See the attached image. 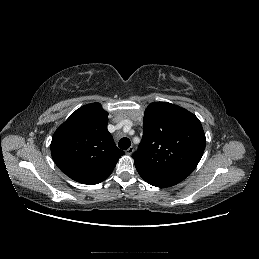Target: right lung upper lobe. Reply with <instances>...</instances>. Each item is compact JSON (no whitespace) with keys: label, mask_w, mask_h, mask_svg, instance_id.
<instances>
[{"label":"right lung upper lobe","mask_w":259,"mask_h":259,"mask_svg":"<svg viewBox=\"0 0 259 259\" xmlns=\"http://www.w3.org/2000/svg\"><path fill=\"white\" fill-rule=\"evenodd\" d=\"M108 113L99 103L80 107L56 130L51 155L71 179L88 185L107 179L124 152L107 130Z\"/></svg>","instance_id":"cb5924a9"}]
</instances>
